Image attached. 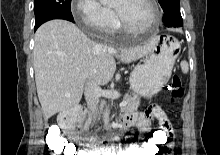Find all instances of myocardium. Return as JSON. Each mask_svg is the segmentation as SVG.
<instances>
[{"label":"myocardium","instance_id":"myocardium-1","mask_svg":"<svg viewBox=\"0 0 220 155\" xmlns=\"http://www.w3.org/2000/svg\"><path fill=\"white\" fill-rule=\"evenodd\" d=\"M145 2L148 4L149 8H150V21L148 22L147 25H145L142 28H133L130 25L127 24V22L122 18V16L120 15V13L115 10L118 22L121 26V28L128 32V33H145L149 30H151L157 23H158V7L156 4V0H145Z\"/></svg>","mask_w":220,"mask_h":155}]
</instances>
